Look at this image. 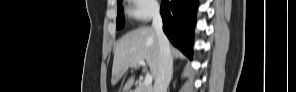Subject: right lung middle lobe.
<instances>
[{"label": "right lung middle lobe", "mask_w": 296, "mask_h": 92, "mask_svg": "<svg viewBox=\"0 0 296 92\" xmlns=\"http://www.w3.org/2000/svg\"><path fill=\"white\" fill-rule=\"evenodd\" d=\"M117 8H118V14H117V20H116V28L120 29L124 27V23H125L122 0L117 2Z\"/></svg>", "instance_id": "1"}]
</instances>
